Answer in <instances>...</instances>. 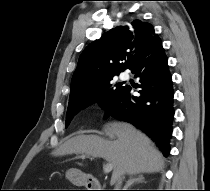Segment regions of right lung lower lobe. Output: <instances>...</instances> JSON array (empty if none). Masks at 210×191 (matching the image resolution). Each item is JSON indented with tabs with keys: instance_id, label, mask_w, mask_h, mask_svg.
Returning a JSON list of instances; mask_svg holds the SVG:
<instances>
[{
	"instance_id": "98d812e1",
	"label": "right lung lower lobe",
	"mask_w": 210,
	"mask_h": 191,
	"mask_svg": "<svg viewBox=\"0 0 210 191\" xmlns=\"http://www.w3.org/2000/svg\"><path fill=\"white\" fill-rule=\"evenodd\" d=\"M130 70L140 78V95L134 96L132 88L124 86L106 108L105 118L112 116L132 123L151 137L166 157L172 136L174 92L167 57L159 37L142 51Z\"/></svg>"
}]
</instances>
